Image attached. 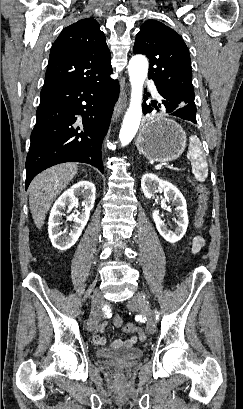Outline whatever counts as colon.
I'll use <instances>...</instances> for the list:
<instances>
[{
    "label": "colon",
    "mask_w": 243,
    "mask_h": 409,
    "mask_svg": "<svg viewBox=\"0 0 243 409\" xmlns=\"http://www.w3.org/2000/svg\"><path fill=\"white\" fill-rule=\"evenodd\" d=\"M208 189L204 185H198L197 186V195H198V207L196 211V216H195V222H194V228H195V234L191 238V246L199 236L197 233L198 231L202 228L203 224V218L207 209V204H208ZM114 325L117 327H122L123 330L127 333H137L139 338L144 341L146 338V335L144 331L135 326L132 323H124L122 318L120 316H115L113 319Z\"/></svg>",
    "instance_id": "obj_1"
}]
</instances>
